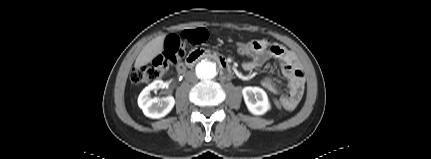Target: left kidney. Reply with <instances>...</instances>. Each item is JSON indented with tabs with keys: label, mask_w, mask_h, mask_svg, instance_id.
Instances as JSON below:
<instances>
[{
	"label": "left kidney",
	"mask_w": 431,
	"mask_h": 159,
	"mask_svg": "<svg viewBox=\"0 0 431 159\" xmlns=\"http://www.w3.org/2000/svg\"><path fill=\"white\" fill-rule=\"evenodd\" d=\"M243 98L248 110L254 115H263L270 110L271 105L266 92L260 87H244Z\"/></svg>",
	"instance_id": "obj_1"
}]
</instances>
